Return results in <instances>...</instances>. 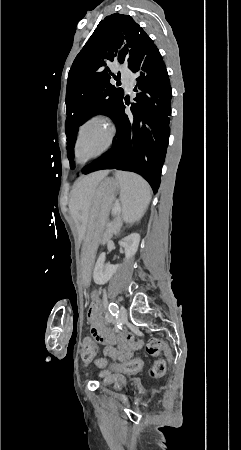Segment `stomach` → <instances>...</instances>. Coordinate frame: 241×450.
<instances>
[{"mask_svg":"<svg viewBox=\"0 0 241 450\" xmlns=\"http://www.w3.org/2000/svg\"><path fill=\"white\" fill-rule=\"evenodd\" d=\"M119 183L112 178L100 181L90 210V218L86 236L81 249V284L86 287L90 276L97 248L107 224L110 208L116 198Z\"/></svg>","mask_w":241,"mask_h":450,"instance_id":"stomach-1","label":"stomach"}]
</instances>
